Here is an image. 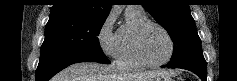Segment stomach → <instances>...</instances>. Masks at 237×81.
<instances>
[{
	"instance_id": "stomach-1",
	"label": "stomach",
	"mask_w": 237,
	"mask_h": 81,
	"mask_svg": "<svg viewBox=\"0 0 237 81\" xmlns=\"http://www.w3.org/2000/svg\"><path fill=\"white\" fill-rule=\"evenodd\" d=\"M151 81H172V78L168 75H161V76L154 78Z\"/></svg>"
}]
</instances>
